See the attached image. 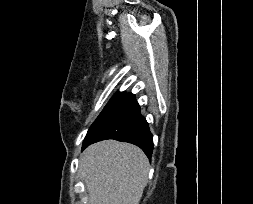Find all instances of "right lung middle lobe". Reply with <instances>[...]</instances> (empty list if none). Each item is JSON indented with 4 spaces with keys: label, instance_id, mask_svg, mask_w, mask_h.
Returning <instances> with one entry per match:
<instances>
[{
    "label": "right lung middle lobe",
    "instance_id": "dd1d6c3e",
    "mask_svg": "<svg viewBox=\"0 0 253 204\" xmlns=\"http://www.w3.org/2000/svg\"><path fill=\"white\" fill-rule=\"evenodd\" d=\"M131 95V93L125 94L124 92H117L105 106V108L94 121V123L91 125L84 142L88 140L94 130Z\"/></svg>",
    "mask_w": 253,
    "mask_h": 204
}]
</instances>
